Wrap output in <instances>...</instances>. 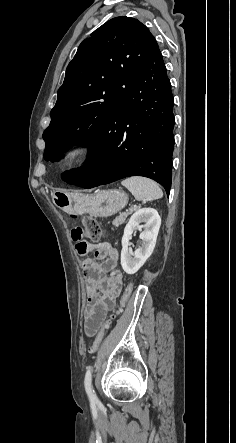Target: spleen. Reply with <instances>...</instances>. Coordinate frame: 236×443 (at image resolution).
Segmentation results:
<instances>
[{
  "instance_id": "spleen-1",
  "label": "spleen",
  "mask_w": 236,
  "mask_h": 443,
  "mask_svg": "<svg viewBox=\"0 0 236 443\" xmlns=\"http://www.w3.org/2000/svg\"><path fill=\"white\" fill-rule=\"evenodd\" d=\"M121 184L126 187L138 201H153L163 197L159 185L153 180L141 176L124 179Z\"/></svg>"
}]
</instances>
